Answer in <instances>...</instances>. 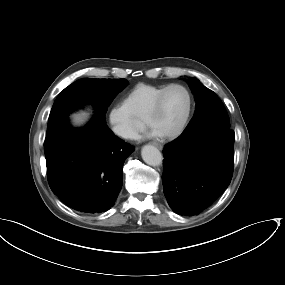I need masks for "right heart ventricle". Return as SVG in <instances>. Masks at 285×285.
Returning a JSON list of instances; mask_svg holds the SVG:
<instances>
[{"instance_id":"obj_1","label":"right heart ventricle","mask_w":285,"mask_h":285,"mask_svg":"<svg viewBox=\"0 0 285 285\" xmlns=\"http://www.w3.org/2000/svg\"><path fill=\"white\" fill-rule=\"evenodd\" d=\"M165 86L139 83L127 92L123 103L135 118L143 119L155 98Z\"/></svg>"}]
</instances>
